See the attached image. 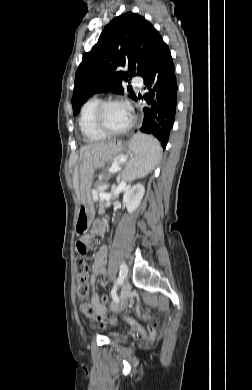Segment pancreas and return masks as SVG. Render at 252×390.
Segmentation results:
<instances>
[{"label": "pancreas", "mask_w": 252, "mask_h": 390, "mask_svg": "<svg viewBox=\"0 0 252 390\" xmlns=\"http://www.w3.org/2000/svg\"><path fill=\"white\" fill-rule=\"evenodd\" d=\"M93 200L96 202L95 197H93ZM104 203H105V202H99V205H98V207H99L98 216H99V217H103V216H104V211H103L104 208H105Z\"/></svg>", "instance_id": "obj_1"}]
</instances>
